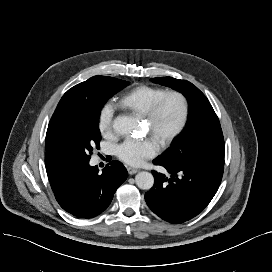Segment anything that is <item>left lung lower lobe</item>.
<instances>
[{
	"label": "left lung lower lobe",
	"mask_w": 272,
	"mask_h": 272,
	"mask_svg": "<svg viewBox=\"0 0 272 272\" xmlns=\"http://www.w3.org/2000/svg\"><path fill=\"white\" fill-rule=\"evenodd\" d=\"M164 166L170 178L153 171L154 185L145 194L149 208L163 220L179 224L198 215L212 200L222 180L224 160H191Z\"/></svg>",
	"instance_id": "left-lung-lower-lobe-1"
}]
</instances>
